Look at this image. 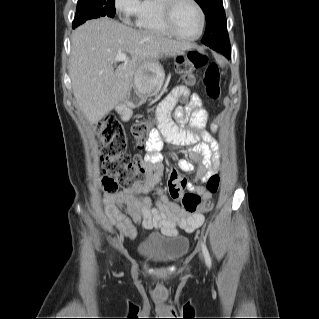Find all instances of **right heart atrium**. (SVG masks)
Listing matches in <instances>:
<instances>
[{
    "label": "right heart atrium",
    "instance_id": "right-heart-atrium-1",
    "mask_svg": "<svg viewBox=\"0 0 319 319\" xmlns=\"http://www.w3.org/2000/svg\"><path fill=\"white\" fill-rule=\"evenodd\" d=\"M140 0H114V8L125 21L135 18L140 7Z\"/></svg>",
    "mask_w": 319,
    "mask_h": 319
}]
</instances>
